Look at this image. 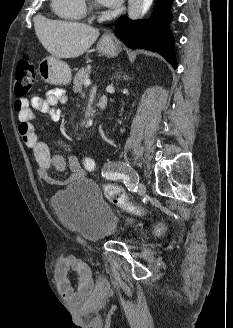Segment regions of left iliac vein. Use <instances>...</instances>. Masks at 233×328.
Wrapping results in <instances>:
<instances>
[{"label":"left iliac vein","mask_w":233,"mask_h":328,"mask_svg":"<svg viewBox=\"0 0 233 328\" xmlns=\"http://www.w3.org/2000/svg\"><path fill=\"white\" fill-rule=\"evenodd\" d=\"M125 173L131 180V183L137 188V192L140 196L146 192L145 185L139 181L138 174L132 168H125Z\"/></svg>","instance_id":"1"}]
</instances>
